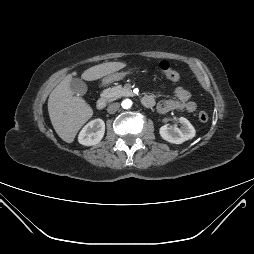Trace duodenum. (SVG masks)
<instances>
[{
    "label": "duodenum",
    "mask_w": 254,
    "mask_h": 254,
    "mask_svg": "<svg viewBox=\"0 0 254 254\" xmlns=\"http://www.w3.org/2000/svg\"><path fill=\"white\" fill-rule=\"evenodd\" d=\"M106 104H107L106 99L104 97H101L97 100L96 107L97 109L102 110L106 107ZM142 104L148 108L152 107L154 105V99L151 98L150 96H145L142 98Z\"/></svg>",
    "instance_id": "1"
}]
</instances>
